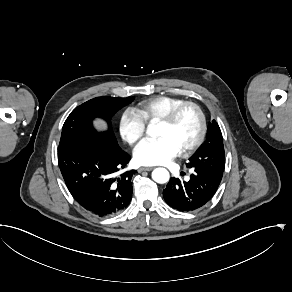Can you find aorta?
Wrapping results in <instances>:
<instances>
[{
    "mask_svg": "<svg viewBox=\"0 0 292 292\" xmlns=\"http://www.w3.org/2000/svg\"><path fill=\"white\" fill-rule=\"evenodd\" d=\"M147 134L151 137L156 136V129L153 124L149 125L147 128ZM152 179L160 184L166 183L169 180V172L165 168H156L152 172Z\"/></svg>",
    "mask_w": 292,
    "mask_h": 292,
    "instance_id": "762f6f07",
    "label": "aorta"
}]
</instances>
